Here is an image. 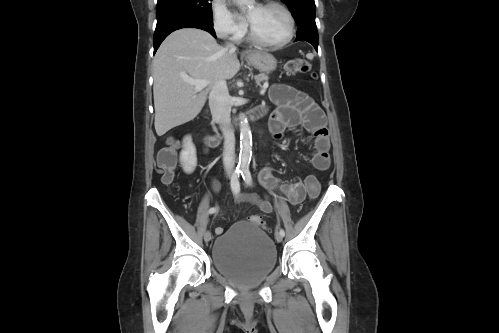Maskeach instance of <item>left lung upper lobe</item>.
Listing matches in <instances>:
<instances>
[{
	"mask_svg": "<svg viewBox=\"0 0 499 333\" xmlns=\"http://www.w3.org/2000/svg\"><path fill=\"white\" fill-rule=\"evenodd\" d=\"M291 10L298 26L306 23H315L314 0H282Z\"/></svg>",
	"mask_w": 499,
	"mask_h": 333,
	"instance_id": "5c2ea615",
	"label": "left lung upper lobe"
}]
</instances>
